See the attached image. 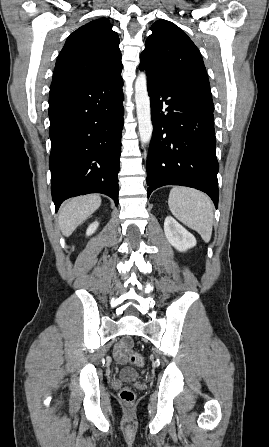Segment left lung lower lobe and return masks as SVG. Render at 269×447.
Listing matches in <instances>:
<instances>
[{
    "instance_id": "obj_1",
    "label": "left lung lower lobe",
    "mask_w": 269,
    "mask_h": 447,
    "mask_svg": "<svg viewBox=\"0 0 269 447\" xmlns=\"http://www.w3.org/2000/svg\"><path fill=\"white\" fill-rule=\"evenodd\" d=\"M139 68L147 73L154 125L146 163L148 197L158 187L182 185L207 193L217 208L214 108L196 93Z\"/></svg>"
}]
</instances>
